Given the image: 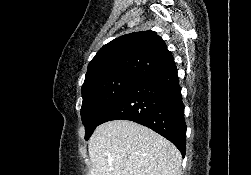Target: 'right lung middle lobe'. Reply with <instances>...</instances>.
I'll return each mask as SVG.
<instances>
[{"label": "right lung middle lobe", "instance_id": "right-lung-middle-lobe-1", "mask_svg": "<svg viewBox=\"0 0 251 175\" xmlns=\"http://www.w3.org/2000/svg\"><path fill=\"white\" fill-rule=\"evenodd\" d=\"M141 79L132 76H116L108 80L94 82L82 87L81 118L85 126V140H88L99 125L105 111L131 87Z\"/></svg>", "mask_w": 251, "mask_h": 175}]
</instances>
